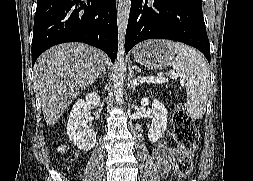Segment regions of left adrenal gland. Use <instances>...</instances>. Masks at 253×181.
I'll return each instance as SVG.
<instances>
[{
	"instance_id": "1",
	"label": "left adrenal gland",
	"mask_w": 253,
	"mask_h": 181,
	"mask_svg": "<svg viewBox=\"0 0 253 181\" xmlns=\"http://www.w3.org/2000/svg\"><path fill=\"white\" fill-rule=\"evenodd\" d=\"M131 87H132V90H135V88H136V86L132 83V81H131Z\"/></svg>"
}]
</instances>
